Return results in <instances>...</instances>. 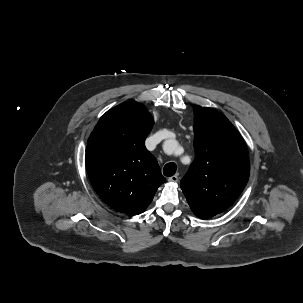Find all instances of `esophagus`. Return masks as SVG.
<instances>
[{"mask_svg":"<svg viewBox=\"0 0 303 303\" xmlns=\"http://www.w3.org/2000/svg\"><path fill=\"white\" fill-rule=\"evenodd\" d=\"M178 180H179V178H178L177 175H174V176H171V177L168 178V181L173 182V183L178 182Z\"/></svg>","mask_w":303,"mask_h":303,"instance_id":"esophagus-1","label":"esophagus"}]
</instances>
